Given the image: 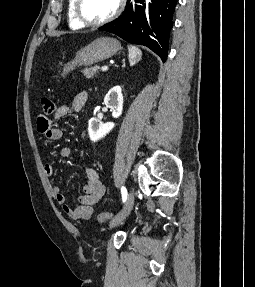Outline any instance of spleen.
<instances>
[{"instance_id": "1", "label": "spleen", "mask_w": 255, "mask_h": 287, "mask_svg": "<svg viewBox=\"0 0 255 287\" xmlns=\"http://www.w3.org/2000/svg\"><path fill=\"white\" fill-rule=\"evenodd\" d=\"M128 52H129V62L130 66H133V64H136V62H140L142 52L139 50V48H136V46H128Z\"/></svg>"}]
</instances>
